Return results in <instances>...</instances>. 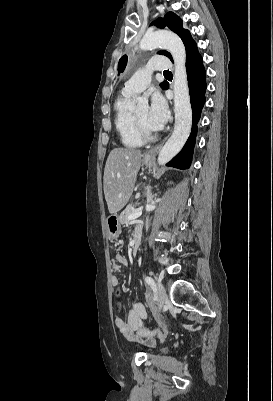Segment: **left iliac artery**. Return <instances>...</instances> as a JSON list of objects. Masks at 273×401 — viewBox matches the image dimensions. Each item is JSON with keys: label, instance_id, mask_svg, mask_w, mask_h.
Returning <instances> with one entry per match:
<instances>
[{"label": "left iliac artery", "instance_id": "44dca946", "mask_svg": "<svg viewBox=\"0 0 273 401\" xmlns=\"http://www.w3.org/2000/svg\"><path fill=\"white\" fill-rule=\"evenodd\" d=\"M145 281H146V283H148V284L152 287V289L155 291L156 285H155V282H154L153 278L150 277V276H146Z\"/></svg>", "mask_w": 273, "mask_h": 401}]
</instances>
